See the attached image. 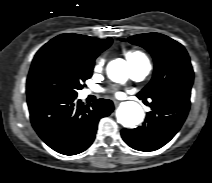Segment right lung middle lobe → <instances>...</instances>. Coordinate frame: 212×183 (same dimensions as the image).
Listing matches in <instances>:
<instances>
[{
  "instance_id": "1",
  "label": "right lung middle lobe",
  "mask_w": 212,
  "mask_h": 183,
  "mask_svg": "<svg viewBox=\"0 0 212 183\" xmlns=\"http://www.w3.org/2000/svg\"><path fill=\"white\" fill-rule=\"evenodd\" d=\"M94 60L84 61L69 51L50 47L35 55L28 79V97L61 94L76 97L92 75Z\"/></svg>"
}]
</instances>
